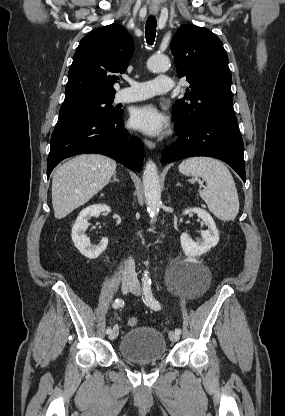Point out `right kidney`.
Returning a JSON list of instances; mask_svg holds the SVG:
<instances>
[{"label":"right kidney","instance_id":"right-kidney-1","mask_svg":"<svg viewBox=\"0 0 285 416\" xmlns=\"http://www.w3.org/2000/svg\"><path fill=\"white\" fill-rule=\"evenodd\" d=\"M101 212H111V210L109 206H105V204H94V206H88V208H84V210L80 212L79 216H77L76 222L73 224L71 236L74 246L77 250H79L82 256H86L89 260H95V258H98V256H100V254H102L108 246V238H102L98 246H92L89 238L85 236V232L89 226V218H92V216L98 218Z\"/></svg>","mask_w":285,"mask_h":416}]
</instances>
